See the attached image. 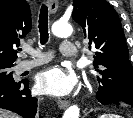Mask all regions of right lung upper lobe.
Returning a JSON list of instances; mask_svg holds the SVG:
<instances>
[{
    "mask_svg": "<svg viewBox=\"0 0 133 118\" xmlns=\"http://www.w3.org/2000/svg\"><path fill=\"white\" fill-rule=\"evenodd\" d=\"M31 31V12L25 0L0 1V64H14L20 39Z\"/></svg>",
    "mask_w": 133,
    "mask_h": 118,
    "instance_id": "right-lung-upper-lobe-1",
    "label": "right lung upper lobe"
}]
</instances>
